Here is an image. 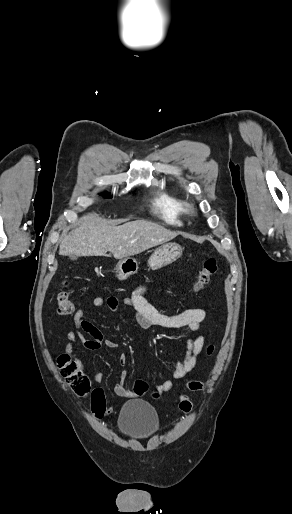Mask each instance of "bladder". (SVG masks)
<instances>
[{
    "label": "bladder",
    "instance_id": "bladder-1",
    "mask_svg": "<svg viewBox=\"0 0 292 514\" xmlns=\"http://www.w3.org/2000/svg\"><path fill=\"white\" fill-rule=\"evenodd\" d=\"M159 417L149 403L130 400L122 408L118 418L120 433L128 438L143 439L159 430Z\"/></svg>",
    "mask_w": 292,
    "mask_h": 514
}]
</instances>
